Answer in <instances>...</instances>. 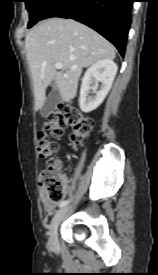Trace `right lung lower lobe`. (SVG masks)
<instances>
[{"instance_id":"1","label":"right lung lower lobe","mask_w":158,"mask_h":275,"mask_svg":"<svg viewBox=\"0 0 158 275\" xmlns=\"http://www.w3.org/2000/svg\"><path fill=\"white\" fill-rule=\"evenodd\" d=\"M134 0H56L42 19L72 18L96 30L123 56Z\"/></svg>"}]
</instances>
